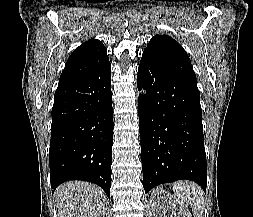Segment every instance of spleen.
Returning <instances> with one entry per match:
<instances>
[{
	"label": "spleen",
	"instance_id": "spleen-1",
	"mask_svg": "<svg viewBox=\"0 0 253 217\" xmlns=\"http://www.w3.org/2000/svg\"><path fill=\"white\" fill-rule=\"evenodd\" d=\"M174 194L181 202H186L194 217H201L204 208V196L200 186L190 181H179L173 185Z\"/></svg>",
	"mask_w": 253,
	"mask_h": 217
}]
</instances>
